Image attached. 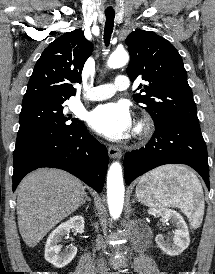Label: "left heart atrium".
<instances>
[{"mask_svg":"<svg viewBox=\"0 0 215 274\" xmlns=\"http://www.w3.org/2000/svg\"><path fill=\"white\" fill-rule=\"evenodd\" d=\"M92 129L111 140L127 138L133 130V119L124 103L97 106L88 116Z\"/></svg>","mask_w":215,"mask_h":274,"instance_id":"1","label":"left heart atrium"}]
</instances>
